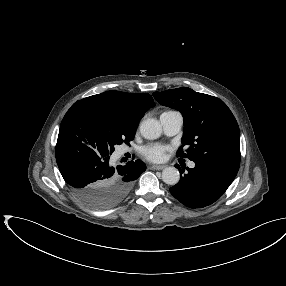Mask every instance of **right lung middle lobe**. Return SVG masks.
<instances>
[{
	"label": "right lung middle lobe",
	"instance_id": "obj_1",
	"mask_svg": "<svg viewBox=\"0 0 286 286\" xmlns=\"http://www.w3.org/2000/svg\"><path fill=\"white\" fill-rule=\"evenodd\" d=\"M61 123L74 128L89 141L112 154L116 145L129 144L135 130L128 128L118 115L102 106L76 102Z\"/></svg>",
	"mask_w": 286,
	"mask_h": 286
}]
</instances>
